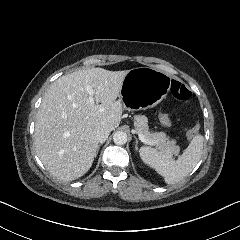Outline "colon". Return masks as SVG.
<instances>
[{"label": "colon", "instance_id": "5ec220e1", "mask_svg": "<svg viewBox=\"0 0 240 240\" xmlns=\"http://www.w3.org/2000/svg\"><path fill=\"white\" fill-rule=\"evenodd\" d=\"M175 95L181 100H188L191 96V92L183 85H177L173 87ZM158 120H162V124L172 126L173 122L171 121L170 115L167 113H158ZM198 135V126L194 125L193 129H190V133L186 134V141L190 142L191 138H195Z\"/></svg>", "mask_w": 240, "mask_h": 240}]
</instances>
